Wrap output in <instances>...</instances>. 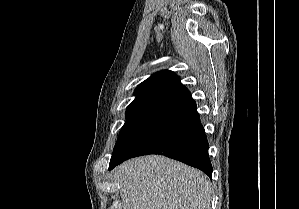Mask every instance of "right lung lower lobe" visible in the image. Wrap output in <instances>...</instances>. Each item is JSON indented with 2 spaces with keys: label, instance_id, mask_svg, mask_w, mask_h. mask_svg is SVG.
Here are the masks:
<instances>
[{
  "label": "right lung lower lobe",
  "instance_id": "obj_1",
  "mask_svg": "<svg viewBox=\"0 0 299 209\" xmlns=\"http://www.w3.org/2000/svg\"><path fill=\"white\" fill-rule=\"evenodd\" d=\"M208 141L196 103L182 87L153 111L142 127L110 160L109 170L136 156L162 154L212 176Z\"/></svg>",
  "mask_w": 299,
  "mask_h": 209
}]
</instances>
